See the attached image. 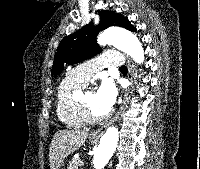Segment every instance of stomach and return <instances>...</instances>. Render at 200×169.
Masks as SVG:
<instances>
[{"instance_id": "1", "label": "stomach", "mask_w": 200, "mask_h": 169, "mask_svg": "<svg viewBox=\"0 0 200 169\" xmlns=\"http://www.w3.org/2000/svg\"><path fill=\"white\" fill-rule=\"evenodd\" d=\"M91 141H92V142H95V140H94V139H92V138H91Z\"/></svg>"}]
</instances>
